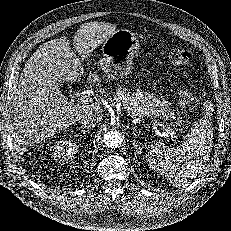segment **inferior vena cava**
I'll return each instance as SVG.
<instances>
[{
  "label": "inferior vena cava",
  "mask_w": 231,
  "mask_h": 231,
  "mask_svg": "<svg viewBox=\"0 0 231 231\" xmlns=\"http://www.w3.org/2000/svg\"><path fill=\"white\" fill-rule=\"evenodd\" d=\"M99 122V119L93 113H86L84 114L81 119L80 123L83 128H94Z\"/></svg>",
  "instance_id": "obj_1"
}]
</instances>
